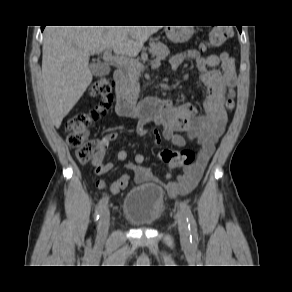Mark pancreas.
Wrapping results in <instances>:
<instances>
[{
    "label": "pancreas",
    "instance_id": "obj_1",
    "mask_svg": "<svg viewBox=\"0 0 292 292\" xmlns=\"http://www.w3.org/2000/svg\"><path fill=\"white\" fill-rule=\"evenodd\" d=\"M149 45V52L158 59H165L170 54L168 47L159 41H152ZM140 72L141 69L133 66H125L121 86L127 97H136L138 95V78L140 76Z\"/></svg>",
    "mask_w": 292,
    "mask_h": 292
}]
</instances>
